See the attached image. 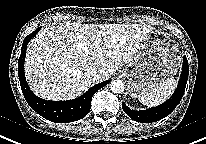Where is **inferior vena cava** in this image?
<instances>
[{"mask_svg":"<svg viewBox=\"0 0 206 144\" xmlns=\"http://www.w3.org/2000/svg\"><path fill=\"white\" fill-rule=\"evenodd\" d=\"M101 69L97 68V67H91L89 69H87L86 73L88 74V76L94 81L97 82L99 80H101L102 76H101Z\"/></svg>","mask_w":206,"mask_h":144,"instance_id":"inferior-vena-cava-1","label":"inferior vena cava"}]
</instances>
